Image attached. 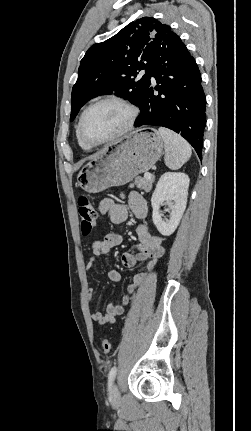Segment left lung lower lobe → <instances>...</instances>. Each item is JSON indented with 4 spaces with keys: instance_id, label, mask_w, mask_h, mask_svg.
<instances>
[{
    "instance_id": "1",
    "label": "left lung lower lobe",
    "mask_w": 251,
    "mask_h": 431,
    "mask_svg": "<svg viewBox=\"0 0 251 431\" xmlns=\"http://www.w3.org/2000/svg\"><path fill=\"white\" fill-rule=\"evenodd\" d=\"M149 74L157 85L151 86L149 75L135 125L163 126L179 133L202 159L206 97L196 61L175 33L153 54Z\"/></svg>"
}]
</instances>
